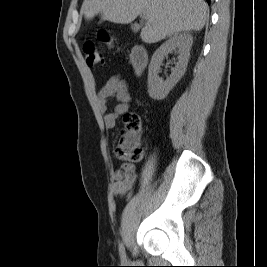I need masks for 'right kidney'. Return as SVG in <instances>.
<instances>
[{"label": "right kidney", "mask_w": 267, "mask_h": 267, "mask_svg": "<svg viewBox=\"0 0 267 267\" xmlns=\"http://www.w3.org/2000/svg\"><path fill=\"white\" fill-rule=\"evenodd\" d=\"M193 37L188 33L176 34L164 42L153 54L148 70V93L154 100H163L185 74ZM175 51L179 54L178 62L171 75L163 81L159 77L164 58Z\"/></svg>", "instance_id": "ca27d5eb"}]
</instances>
